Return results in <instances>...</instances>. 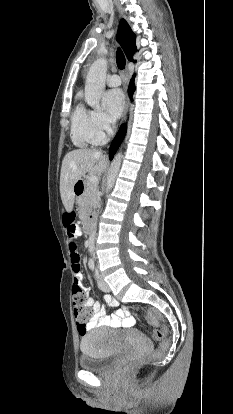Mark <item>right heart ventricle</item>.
<instances>
[{"mask_svg": "<svg viewBox=\"0 0 233 414\" xmlns=\"http://www.w3.org/2000/svg\"><path fill=\"white\" fill-rule=\"evenodd\" d=\"M71 139L74 145L84 148L99 144L92 111L82 104L76 105L71 115Z\"/></svg>", "mask_w": 233, "mask_h": 414, "instance_id": "e07e8e85", "label": "right heart ventricle"}]
</instances>
